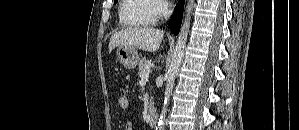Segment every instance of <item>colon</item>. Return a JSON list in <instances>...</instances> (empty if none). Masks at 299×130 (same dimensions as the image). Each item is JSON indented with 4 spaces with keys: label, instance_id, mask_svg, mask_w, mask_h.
I'll use <instances>...</instances> for the list:
<instances>
[{
    "label": "colon",
    "instance_id": "5ec220e1",
    "mask_svg": "<svg viewBox=\"0 0 299 130\" xmlns=\"http://www.w3.org/2000/svg\"><path fill=\"white\" fill-rule=\"evenodd\" d=\"M118 106L121 109H126L129 106V98L127 95L122 94L118 97Z\"/></svg>",
    "mask_w": 299,
    "mask_h": 130
}]
</instances>
